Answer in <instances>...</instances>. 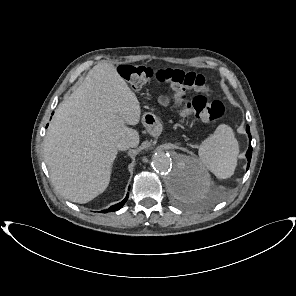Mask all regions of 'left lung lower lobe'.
<instances>
[{
    "label": "left lung lower lobe",
    "instance_id": "0a47b994",
    "mask_svg": "<svg viewBox=\"0 0 296 296\" xmlns=\"http://www.w3.org/2000/svg\"><path fill=\"white\" fill-rule=\"evenodd\" d=\"M246 131H247L248 136H249V148H248V151L246 153V157L248 159V165H247V170H248L249 165H250V161H251V155H252L251 134H250L249 126H247ZM182 192L183 191H179V192H176V193L181 194Z\"/></svg>",
    "mask_w": 296,
    "mask_h": 296
}]
</instances>
